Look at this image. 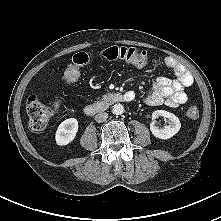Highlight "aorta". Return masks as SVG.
Returning <instances> with one entry per match:
<instances>
[{
	"mask_svg": "<svg viewBox=\"0 0 221 221\" xmlns=\"http://www.w3.org/2000/svg\"><path fill=\"white\" fill-rule=\"evenodd\" d=\"M124 112V107L122 104L117 103L112 106V113L115 115H121Z\"/></svg>",
	"mask_w": 221,
	"mask_h": 221,
	"instance_id": "obj_1",
	"label": "aorta"
}]
</instances>
